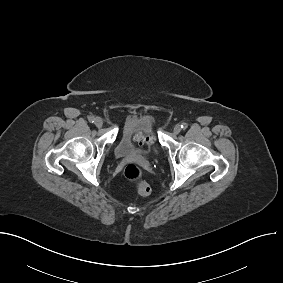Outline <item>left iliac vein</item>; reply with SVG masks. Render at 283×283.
Segmentation results:
<instances>
[{
  "label": "left iliac vein",
  "instance_id": "4c4485c4",
  "mask_svg": "<svg viewBox=\"0 0 283 283\" xmlns=\"http://www.w3.org/2000/svg\"><path fill=\"white\" fill-rule=\"evenodd\" d=\"M174 133L175 134H179L180 132H181V126L180 125H176L175 127H174Z\"/></svg>",
  "mask_w": 283,
  "mask_h": 283
}]
</instances>
